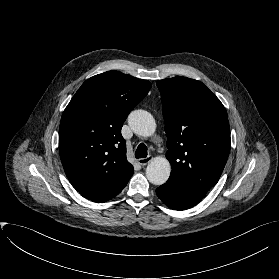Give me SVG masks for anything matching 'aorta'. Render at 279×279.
<instances>
[{
  "label": "aorta",
  "mask_w": 279,
  "mask_h": 279,
  "mask_svg": "<svg viewBox=\"0 0 279 279\" xmlns=\"http://www.w3.org/2000/svg\"><path fill=\"white\" fill-rule=\"evenodd\" d=\"M128 123L134 133L144 137L151 136L156 129L155 119L144 110L132 111L128 117ZM170 172L171 165L165 157L154 158L146 168L147 179L154 185L164 184Z\"/></svg>",
  "instance_id": "762f6f07"
}]
</instances>
